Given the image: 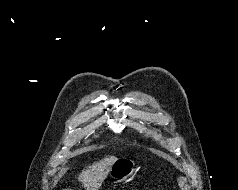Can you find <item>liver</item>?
I'll list each match as a JSON object with an SVG mask.
<instances>
[{"instance_id":"1","label":"liver","mask_w":238,"mask_h":190,"mask_svg":"<svg viewBox=\"0 0 238 190\" xmlns=\"http://www.w3.org/2000/svg\"><path fill=\"white\" fill-rule=\"evenodd\" d=\"M117 157L109 156L88 166L79 175L78 180L86 190H98L110 172Z\"/></svg>"}]
</instances>
